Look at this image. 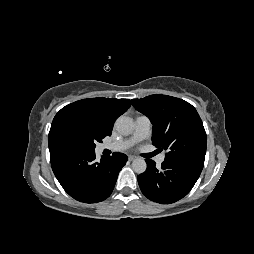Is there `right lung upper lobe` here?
Wrapping results in <instances>:
<instances>
[{
	"label": "right lung upper lobe",
	"mask_w": 254,
	"mask_h": 254,
	"mask_svg": "<svg viewBox=\"0 0 254 254\" xmlns=\"http://www.w3.org/2000/svg\"><path fill=\"white\" fill-rule=\"evenodd\" d=\"M131 106L128 99L91 98L83 99L63 107L51 124L49 150L62 146L59 141L61 126L70 119L84 120L96 124L106 136H110L115 120Z\"/></svg>",
	"instance_id": "obj_1"
}]
</instances>
